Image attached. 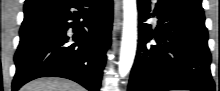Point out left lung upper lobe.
I'll list each match as a JSON object with an SVG mask.
<instances>
[{
	"label": "left lung upper lobe",
	"mask_w": 220,
	"mask_h": 91,
	"mask_svg": "<svg viewBox=\"0 0 220 91\" xmlns=\"http://www.w3.org/2000/svg\"><path fill=\"white\" fill-rule=\"evenodd\" d=\"M171 1H174L176 3L182 4L192 9L203 12V8L201 5L202 0H171Z\"/></svg>",
	"instance_id": "5c2ea615"
}]
</instances>
